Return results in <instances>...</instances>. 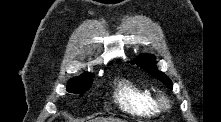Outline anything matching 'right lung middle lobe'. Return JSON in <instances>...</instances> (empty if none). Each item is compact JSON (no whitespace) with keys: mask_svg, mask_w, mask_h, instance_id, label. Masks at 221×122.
Listing matches in <instances>:
<instances>
[{"mask_svg":"<svg viewBox=\"0 0 221 122\" xmlns=\"http://www.w3.org/2000/svg\"><path fill=\"white\" fill-rule=\"evenodd\" d=\"M92 76V74H87L71 79L68 82L67 91L70 93L83 94L90 88L93 82Z\"/></svg>","mask_w":221,"mask_h":122,"instance_id":"1","label":"right lung middle lobe"}]
</instances>
